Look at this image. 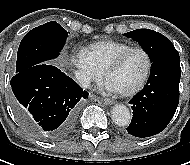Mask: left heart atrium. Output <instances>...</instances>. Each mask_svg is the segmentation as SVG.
Here are the masks:
<instances>
[{"label":"left heart atrium","mask_w":190,"mask_h":165,"mask_svg":"<svg viewBox=\"0 0 190 165\" xmlns=\"http://www.w3.org/2000/svg\"><path fill=\"white\" fill-rule=\"evenodd\" d=\"M106 88L110 91H116L108 82L106 83Z\"/></svg>","instance_id":"1"}]
</instances>
